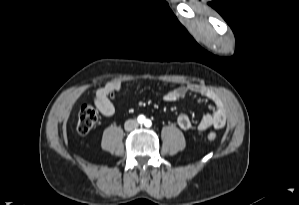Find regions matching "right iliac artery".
<instances>
[{"instance_id": "1", "label": "right iliac artery", "mask_w": 299, "mask_h": 205, "mask_svg": "<svg viewBox=\"0 0 299 205\" xmlns=\"http://www.w3.org/2000/svg\"><path fill=\"white\" fill-rule=\"evenodd\" d=\"M145 121V117L143 116V115H140L139 117H138V122L139 123H143Z\"/></svg>"}]
</instances>
